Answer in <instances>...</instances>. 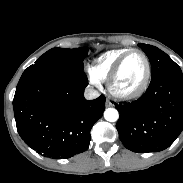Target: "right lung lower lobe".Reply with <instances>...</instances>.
<instances>
[{
  "label": "right lung lower lobe",
  "mask_w": 183,
  "mask_h": 183,
  "mask_svg": "<svg viewBox=\"0 0 183 183\" xmlns=\"http://www.w3.org/2000/svg\"><path fill=\"white\" fill-rule=\"evenodd\" d=\"M83 69L21 76L13 108L17 131L44 157L68 159L89 147L90 130L102 117L105 96L84 98Z\"/></svg>",
  "instance_id": "98d812e1"
}]
</instances>
